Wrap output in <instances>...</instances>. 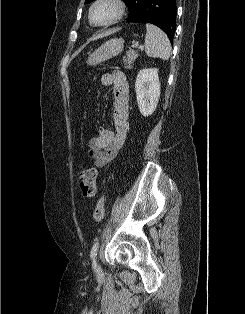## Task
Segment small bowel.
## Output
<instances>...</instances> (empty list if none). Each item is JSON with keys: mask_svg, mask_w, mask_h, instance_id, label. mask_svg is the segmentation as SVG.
Returning <instances> with one entry per match:
<instances>
[{"mask_svg": "<svg viewBox=\"0 0 245 314\" xmlns=\"http://www.w3.org/2000/svg\"><path fill=\"white\" fill-rule=\"evenodd\" d=\"M105 87H114V130L100 127L98 134L88 140V156L93 164L104 171L115 160L129 132V87L121 71L106 73L101 78Z\"/></svg>", "mask_w": 245, "mask_h": 314, "instance_id": "small-bowel-1", "label": "small bowel"}]
</instances>
